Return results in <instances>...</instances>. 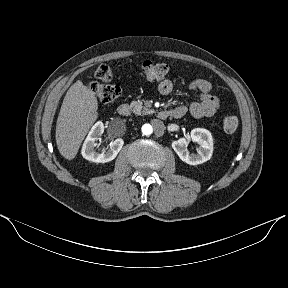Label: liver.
Instances as JSON below:
<instances>
[{
  "label": "liver",
  "instance_id": "6515ba94",
  "mask_svg": "<svg viewBox=\"0 0 288 288\" xmlns=\"http://www.w3.org/2000/svg\"><path fill=\"white\" fill-rule=\"evenodd\" d=\"M98 102L94 92L82 81H76L67 91L56 123V143L60 154L72 160L89 129L98 117Z\"/></svg>",
  "mask_w": 288,
  "mask_h": 288
}]
</instances>
